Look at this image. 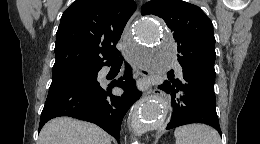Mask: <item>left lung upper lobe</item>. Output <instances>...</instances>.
<instances>
[{"label":"left lung upper lobe","mask_w":260,"mask_h":144,"mask_svg":"<svg viewBox=\"0 0 260 144\" xmlns=\"http://www.w3.org/2000/svg\"><path fill=\"white\" fill-rule=\"evenodd\" d=\"M141 14L164 19L173 32L183 70L215 81L213 25L201 8L182 0H152L142 6Z\"/></svg>","instance_id":"5c2ea615"}]
</instances>
